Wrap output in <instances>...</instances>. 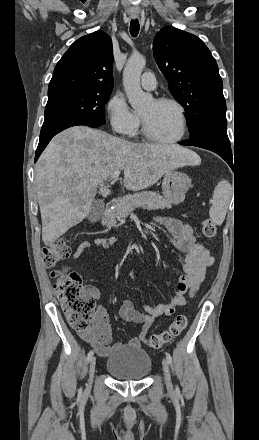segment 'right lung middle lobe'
<instances>
[{"mask_svg": "<svg viewBox=\"0 0 259 440\" xmlns=\"http://www.w3.org/2000/svg\"><path fill=\"white\" fill-rule=\"evenodd\" d=\"M111 92L73 89L48 94L43 124L80 118L104 125L105 104Z\"/></svg>", "mask_w": 259, "mask_h": 440, "instance_id": "right-lung-middle-lobe-1", "label": "right lung middle lobe"}]
</instances>
